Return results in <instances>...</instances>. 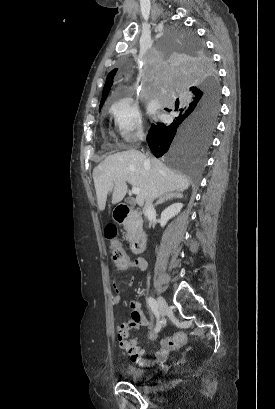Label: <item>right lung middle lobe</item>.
I'll return each mask as SVG.
<instances>
[{"instance_id": "1", "label": "right lung middle lobe", "mask_w": 275, "mask_h": 409, "mask_svg": "<svg viewBox=\"0 0 275 409\" xmlns=\"http://www.w3.org/2000/svg\"><path fill=\"white\" fill-rule=\"evenodd\" d=\"M187 24L160 30L155 36L159 51H171L169 70L159 76L170 82H150V91H191L190 96H152L147 102L160 105L163 123L152 124L147 141L165 167L199 181L206 153L210 150L219 114L220 87L216 70L204 44L189 33ZM184 175V174H183ZM203 181V178H200ZM192 188L197 184L192 183Z\"/></svg>"}]
</instances>
